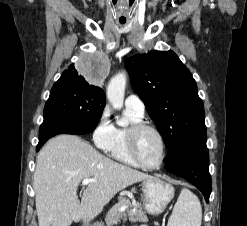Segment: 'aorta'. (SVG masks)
<instances>
[{
	"label": "aorta",
	"instance_id": "762f6f07",
	"mask_svg": "<svg viewBox=\"0 0 247 226\" xmlns=\"http://www.w3.org/2000/svg\"><path fill=\"white\" fill-rule=\"evenodd\" d=\"M125 87V73H118L110 80L107 87V98L114 109H120L123 106ZM118 125L123 126L124 123L118 122Z\"/></svg>",
	"mask_w": 247,
	"mask_h": 226
}]
</instances>
